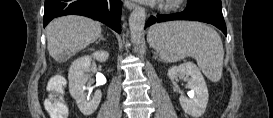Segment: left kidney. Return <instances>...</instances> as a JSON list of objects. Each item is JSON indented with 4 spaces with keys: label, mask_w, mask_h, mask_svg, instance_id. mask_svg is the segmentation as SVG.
I'll return each instance as SVG.
<instances>
[{
    "label": "left kidney",
    "mask_w": 273,
    "mask_h": 118,
    "mask_svg": "<svg viewBox=\"0 0 273 118\" xmlns=\"http://www.w3.org/2000/svg\"><path fill=\"white\" fill-rule=\"evenodd\" d=\"M179 74L190 76L187 87L194 93L191 98L181 95L180 105L188 115L199 118L206 110L209 97L204 77L193 62L183 63L168 69V77L171 80L176 79Z\"/></svg>",
    "instance_id": "left-kidney-1"
}]
</instances>
